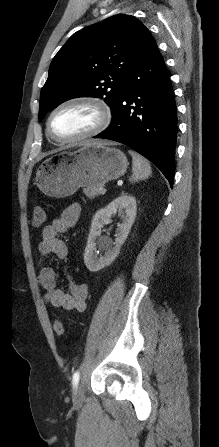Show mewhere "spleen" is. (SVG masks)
Segmentation results:
<instances>
[{"mask_svg":"<svg viewBox=\"0 0 219 447\" xmlns=\"http://www.w3.org/2000/svg\"><path fill=\"white\" fill-rule=\"evenodd\" d=\"M132 156V176L130 181H139L147 178L151 175V166L150 163L141 155L134 151H129Z\"/></svg>","mask_w":219,"mask_h":447,"instance_id":"spleen-1","label":"spleen"}]
</instances>
